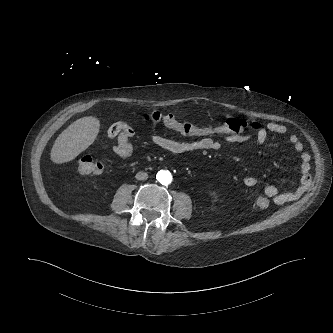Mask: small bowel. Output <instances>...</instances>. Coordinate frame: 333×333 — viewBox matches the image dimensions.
Masks as SVG:
<instances>
[{
	"instance_id": "small-bowel-1",
	"label": "small bowel",
	"mask_w": 333,
	"mask_h": 333,
	"mask_svg": "<svg viewBox=\"0 0 333 333\" xmlns=\"http://www.w3.org/2000/svg\"><path fill=\"white\" fill-rule=\"evenodd\" d=\"M138 119L140 123L148 125L152 123L154 116L152 112L144 110L140 112ZM124 121H117L107 132L109 139H116L117 143L114 146L116 154L122 157H128L132 153V145L130 139L133 137V132L129 128L122 130V124ZM287 127L283 124L276 122H269L264 126H261L256 131V142L259 145L264 144L269 138L278 139L285 135ZM252 136L250 131H244L240 133L229 132L226 135H219L221 139L213 137L200 138L195 141H177L161 135H151L150 141L152 144L160 149L171 153H189L201 150H219L223 142L226 143H243L249 140ZM289 142L293 146L294 150L299 154L300 168L302 181L297 187L289 192H280L274 185H266L263 189L265 196L272 198L277 204L282 205L297 200L303 193L304 183L310 171V155L304 151L303 143L296 135L289 137ZM127 150V151H125ZM243 183L247 187H255L259 184V181L254 176H246L243 179Z\"/></svg>"
}]
</instances>
